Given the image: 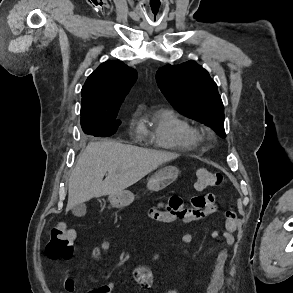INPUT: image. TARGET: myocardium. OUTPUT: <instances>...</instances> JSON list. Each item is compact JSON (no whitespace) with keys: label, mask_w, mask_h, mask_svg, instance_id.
Masks as SVG:
<instances>
[{"label":"myocardium","mask_w":293,"mask_h":293,"mask_svg":"<svg viewBox=\"0 0 293 293\" xmlns=\"http://www.w3.org/2000/svg\"><path fill=\"white\" fill-rule=\"evenodd\" d=\"M209 130H208V128H206V127H201L200 128V130L199 131H197L198 132V134L201 132V133H206V132H208Z\"/></svg>","instance_id":"obj_1"}]
</instances>
